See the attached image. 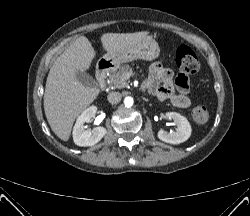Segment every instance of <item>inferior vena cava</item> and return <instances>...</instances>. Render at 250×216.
<instances>
[{
	"label": "inferior vena cava",
	"mask_w": 250,
	"mask_h": 216,
	"mask_svg": "<svg viewBox=\"0 0 250 216\" xmlns=\"http://www.w3.org/2000/svg\"><path fill=\"white\" fill-rule=\"evenodd\" d=\"M121 98H122V95L119 92H111L107 96V100L111 104H117V103H119L120 100H121Z\"/></svg>",
	"instance_id": "obj_1"
}]
</instances>
